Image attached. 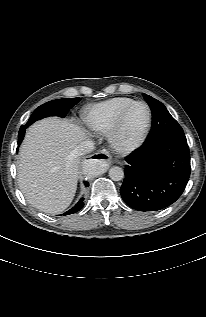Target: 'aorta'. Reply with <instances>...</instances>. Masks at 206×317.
I'll return each instance as SVG.
<instances>
[{
    "mask_svg": "<svg viewBox=\"0 0 206 317\" xmlns=\"http://www.w3.org/2000/svg\"><path fill=\"white\" fill-rule=\"evenodd\" d=\"M83 168L84 172L90 176L97 175L99 173V164L97 161L91 160L85 163ZM109 177L113 181H120L124 178V171L119 166H113L109 170Z\"/></svg>",
    "mask_w": 206,
    "mask_h": 317,
    "instance_id": "762f6f07",
    "label": "aorta"
}]
</instances>
